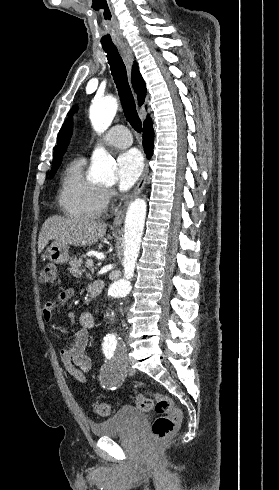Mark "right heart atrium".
Listing matches in <instances>:
<instances>
[{
	"instance_id": "obj_1",
	"label": "right heart atrium",
	"mask_w": 279,
	"mask_h": 490,
	"mask_svg": "<svg viewBox=\"0 0 279 490\" xmlns=\"http://www.w3.org/2000/svg\"><path fill=\"white\" fill-rule=\"evenodd\" d=\"M114 197V191L111 188H101L98 196V208L100 213L105 212L112 199Z\"/></svg>"
}]
</instances>
